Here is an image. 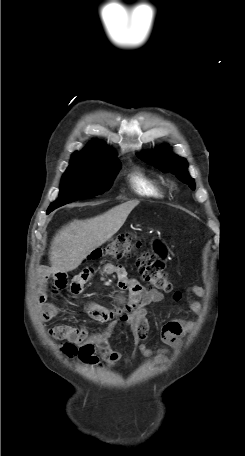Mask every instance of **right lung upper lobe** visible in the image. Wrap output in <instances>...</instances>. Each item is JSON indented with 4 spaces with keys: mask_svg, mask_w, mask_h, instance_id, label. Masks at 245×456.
Returning a JSON list of instances; mask_svg holds the SVG:
<instances>
[{
    "mask_svg": "<svg viewBox=\"0 0 245 456\" xmlns=\"http://www.w3.org/2000/svg\"><path fill=\"white\" fill-rule=\"evenodd\" d=\"M117 159L110 150L98 142L91 143L86 149L72 154L70 164H99Z\"/></svg>",
    "mask_w": 245,
    "mask_h": 456,
    "instance_id": "1",
    "label": "right lung upper lobe"
}]
</instances>
